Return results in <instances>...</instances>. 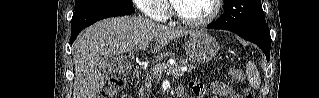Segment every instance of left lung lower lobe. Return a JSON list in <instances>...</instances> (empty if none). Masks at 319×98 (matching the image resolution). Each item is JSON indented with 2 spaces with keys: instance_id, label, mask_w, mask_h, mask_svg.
<instances>
[{
  "instance_id": "1",
  "label": "left lung lower lobe",
  "mask_w": 319,
  "mask_h": 98,
  "mask_svg": "<svg viewBox=\"0 0 319 98\" xmlns=\"http://www.w3.org/2000/svg\"><path fill=\"white\" fill-rule=\"evenodd\" d=\"M208 28L218 29L216 26L209 24ZM240 37L257 44L265 53L267 61L270 59L271 36L269 31H236L230 30Z\"/></svg>"
}]
</instances>
